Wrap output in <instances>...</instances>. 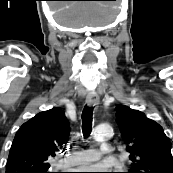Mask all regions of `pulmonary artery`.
Returning a JSON list of instances; mask_svg holds the SVG:
<instances>
[{
	"mask_svg": "<svg viewBox=\"0 0 173 173\" xmlns=\"http://www.w3.org/2000/svg\"><path fill=\"white\" fill-rule=\"evenodd\" d=\"M112 147L109 144L103 143L99 150L83 149L74 152L68 158L62 159L59 162L60 167L68 168L72 166L87 165L99 160L102 156L112 155Z\"/></svg>",
	"mask_w": 173,
	"mask_h": 173,
	"instance_id": "obj_1",
	"label": "pulmonary artery"
}]
</instances>
